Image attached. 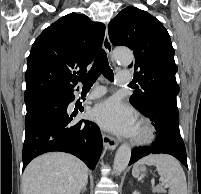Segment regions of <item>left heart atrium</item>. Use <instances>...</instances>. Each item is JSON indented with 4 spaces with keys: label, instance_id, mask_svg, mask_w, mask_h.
<instances>
[{
    "label": "left heart atrium",
    "instance_id": "left-heart-atrium-1",
    "mask_svg": "<svg viewBox=\"0 0 201 194\" xmlns=\"http://www.w3.org/2000/svg\"><path fill=\"white\" fill-rule=\"evenodd\" d=\"M92 117L100 126L119 135L131 136L137 130L133 111L117 99L96 105Z\"/></svg>",
    "mask_w": 201,
    "mask_h": 194
}]
</instances>
